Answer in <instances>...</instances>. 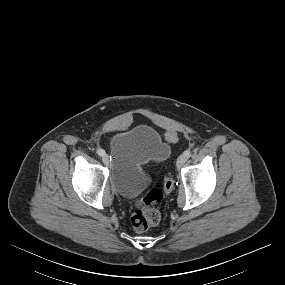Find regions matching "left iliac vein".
Returning <instances> with one entry per match:
<instances>
[{"mask_svg": "<svg viewBox=\"0 0 285 285\" xmlns=\"http://www.w3.org/2000/svg\"><path fill=\"white\" fill-rule=\"evenodd\" d=\"M185 161L186 157L184 155L179 156L176 162L177 168H181L184 165Z\"/></svg>", "mask_w": 285, "mask_h": 285, "instance_id": "left-iliac-vein-1", "label": "left iliac vein"}]
</instances>
